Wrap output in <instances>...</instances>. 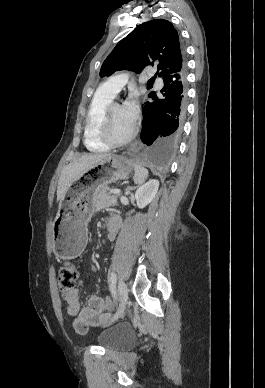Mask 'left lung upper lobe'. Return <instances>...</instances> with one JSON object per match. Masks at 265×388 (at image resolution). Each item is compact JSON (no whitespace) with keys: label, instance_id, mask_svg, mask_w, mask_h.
I'll return each instance as SVG.
<instances>
[{"label":"left lung upper lobe","instance_id":"left-lung-upper-lobe-1","mask_svg":"<svg viewBox=\"0 0 265 388\" xmlns=\"http://www.w3.org/2000/svg\"><path fill=\"white\" fill-rule=\"evenodd\" d=\"M150 65L157 68L150 81H154L156 76L164 78L186 69L185 52L178 32L167 20L155 19L137 26L106 58L100 76L124 69L140 73Z\"/></svg>","mask_w":265,"mask_h":388}]
</instances>
